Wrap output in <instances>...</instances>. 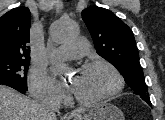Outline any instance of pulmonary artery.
<instances>
[{
    "mask_svg": "<svg viewBox=\"0 0 165 120\" xmlns=\"http://www.w3.org/2000/svg\"><path fill=\"white\" fill-rule=\"evenodd\" d=\"M88 50L87 43L82 39H75L59 47L56 54L65 57H78L84 55Z\"/></svg>",
    "mask_w": 165,
    "mask_h": 120,
    "instance_id": "pulmonary-artery-1",
    "label": "pulmonary artery"
}]
</instances>
